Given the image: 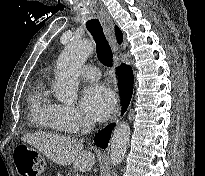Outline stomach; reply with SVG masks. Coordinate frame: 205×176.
<instances>
[{
	"label": "stomach",
	"instance_id": "stomach-1",
	"mask_svg": "<svg viewBox=\"0 0 205 176\" xmlns=\"http://www.w3.org/2000/svg\"><path fill=\"white\" fill-rule=\"evenodd\" d=\"M22 147L27 149L28 151L36 152V150L33 147H31V146H29L27 144H22Z\"/></svg>",
	"mask_w": 205,
	"mask_h": 176
}]
</instances>
